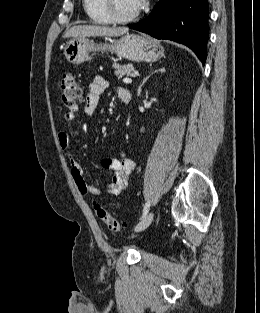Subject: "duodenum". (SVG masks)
<instances>
[{
  "instance_id": "obj_1",
  "label": "duodenum",
  "mask_w": 260,
  "mask_h": 313,
  "mask_svg": "<svg viewBox=\"0 0 260 313\" xmlns=\"http://www.w3.org/2000/svg\"><path fill=\"white\" fill-rule=\"evenodd\" d=\"M124 103H128V101L126 99L122 100Z\"/></svg>"
}]
</instances>
